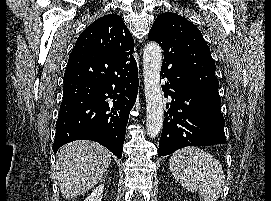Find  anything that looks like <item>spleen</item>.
<instances>
[{"instance_id": "3e777b00", "label": "spleen", "mask_w": 271, "mask_h": 201, "mask_svg": "<svg viewBox=\"0 0 271 201\" xmlns=\"http://www.w3.org/2000/svg\"><path fill=\"white\" fill-rule=\"evenodd\" d=\"M169 168L188 191L198 192L204 201H217L225 183L222 165L199 147L188 146L170 156Z\"/></svg>"}]
</instances>
